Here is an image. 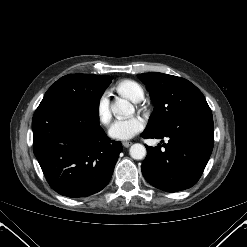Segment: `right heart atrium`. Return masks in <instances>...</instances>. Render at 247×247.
I'll use <instances>...</instances> for the list:
<instances>
[{
    "label": "right heart atrium",
    "mask_w": 247,
    "mask_h": 247,
    "mask_svg": "<svg viewBox=\"0 0 247 247\" xmlns=\"http://www.w3.org/2000/svg\"><path fill=\"white\" fill-rule=\"evenodd\" d=\"M97 117L99 122L104 126H108L111 122L110 99L106 93L102 94L97 102Z\"/></svg>",
    "instance_id": "right-heart-atrium-1"
}]
</instances>
